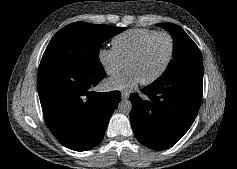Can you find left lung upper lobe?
<instances>
[{"instance_id":"left-lung-upper-lobe-1","label":"left lung upper lobe","mask_w":237,"mask_h":169,"mask_svg":"<svg viewBox=\"0 0 237 169\" xmlns=\"http://www.w3.org/2000/svg\"><path fill=\"white\" fill-rule=\"evenodd\" d=\"M158 26L170 31L173 38V59L165 72L156 80L162 81L189 72L202 71L203 62L199 48L185 31L173 23H160Z\"/></svg>"}]
</instances>
